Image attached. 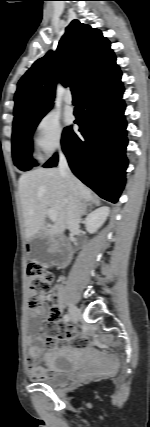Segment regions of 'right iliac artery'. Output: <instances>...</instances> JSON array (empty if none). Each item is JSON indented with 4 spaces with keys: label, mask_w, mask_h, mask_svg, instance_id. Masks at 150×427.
Instances as JSON below:
<instances>
[{
    "label": "right iliac artery",
    "mask_w": 150,
    "mask_h": 427,
    "mask_svg": "<svg viewBox=\"0 0 150 427\" xmlns=\"http://www.w3.org/2000/svg\"><path fill=\"white\" fill-rule=\"evenodd\" d=\"M63 318L65 322H68L70 320V316L68 314H65Z\"/></svg>",
    "instance_id": "1"
}]
</instances>
